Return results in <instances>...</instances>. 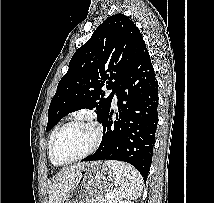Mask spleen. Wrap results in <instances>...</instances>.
Wrapping results in <instances>:
<instances>
[{"instance_id": "obj_1", "label": "spleen", "mask_w": 214, "mask_h": 203, "mask_svg": "<svg viewBox=\"0 0 214 203\" xmlns=\"http://www.w3.org/2000/svg\"><path fill=\"white\" fill-rule=\"evenodd\" d=\"M115 174V185L117 186L116 203L122 198L137 199L143 190V179L140 173L132 166L119 161H106ZM119 201V202H118Z\"/></svg>"}]
</instances>
